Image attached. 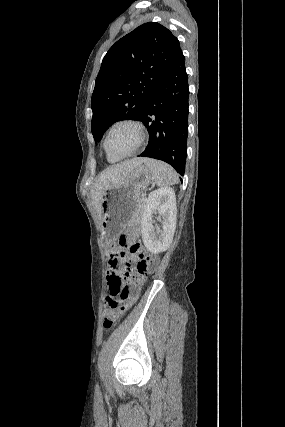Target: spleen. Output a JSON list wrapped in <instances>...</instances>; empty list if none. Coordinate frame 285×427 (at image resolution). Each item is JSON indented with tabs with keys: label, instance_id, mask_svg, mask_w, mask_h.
<instances>
[{
	"label": "spleen",
	"instance_id": "3e777b00",
	"mask_svg": "<svg viewBox=\"0 0 285 427\" xmlns=\"http://www.w3.org/2000/svg\"><path fill=\"white\" fill-rule=\"evenodd\" d=\"M144 164L151 171L158 186L167 187L178 183V175L170 165L153 159H145Z\"/></svg>",
	"mask_w": 285,
	"mask_h": 427
}]
</instances>
